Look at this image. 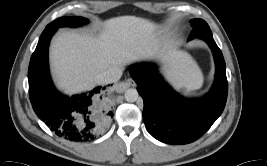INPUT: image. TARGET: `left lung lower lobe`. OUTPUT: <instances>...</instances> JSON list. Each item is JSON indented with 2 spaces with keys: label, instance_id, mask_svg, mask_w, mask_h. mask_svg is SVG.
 I'll return each mask as SVG.
<instances>
[{
  "label": "left lung lower lobe",
  "instance_id": "0a47b994",
  "mask_svg": "<svg viewBox=\"0 0 267 166\" xmlns=\"http://www.w3.org/2000/svg\"><path fill=\"white\" fill-rule=\"evenodd\" d=\"M216 64L215 82L202 99H187L176 93L157 73L153 64L130 69L144 101L143 120L149 133L168 144H188L201 137L221 115L227 100L226 65L211 32L203 33Z\"/></svg>",
  "mask_w": 267,
  "mask_h": 166
}]
</instances>
